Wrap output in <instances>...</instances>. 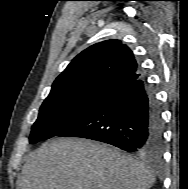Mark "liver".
I'll list each match as a JSON object with an SVG mask.
<instances>
[{"label": "liver", "instance_id": "1", "mask_svg": "<svg viewBox=\"0 0 188 189\" xmlns=\"http://www.w3.org/2000/svg\"><path fill=\"white\" fill-rule=\"evenodd\" d=\"M155 176L117 148L57 138L29 155L19 189H148Z\"/></svg>", "mask_w": 188, "mask_h": 189}]
</instances>
